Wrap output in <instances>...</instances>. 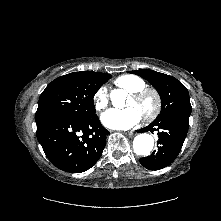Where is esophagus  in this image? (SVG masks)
Returning <instances> with one entry per match:
<instances>
[{
  "label": "esophagus",
  "instance_id": "esophagus-1",
  "mask_svg": "<svg viewBox=\"0 0 221 221\" xmlns=\"http://www.w3.org/2000/svg\"><path fill=\"white\" fill-rule=\"evenodd\" d=\"M127 134H128L129 136H133V135H134L133 131H128Z\"/></svg>",
  "mask_w": 221,
  "mask_h": 221
}]
</instances>
